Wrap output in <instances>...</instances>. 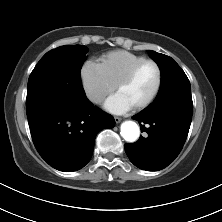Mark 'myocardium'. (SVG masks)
I'll return each instance as SVG.
<instances>
[{"mask_svg": "<svg viewBox=\"0 0 222 222\" xmlns=\"http://www.w3.org/2000/svg\"><path fill=\"white\" fill-rule=\"evenodd\" d=\"M146 64H152L157 71V83L155 86L154 91L152 92V94L150 95V97L145 100L144 102H142L141 104L133 107L135 111H141L146 109L147 107H149L157 98L161 86H162V81H163V74H162V70L159 66V64L151 59H145L137 64H135L116 84H115V90H118L120 87L125 86L126 84H128L136 75V73L139 71L140 68H142L144 65Z\"/></svg>", "mask_w": 222, "mask_h": 222, "instance_id": "f54148a6", "label": "myocardium"}]
</instances>
